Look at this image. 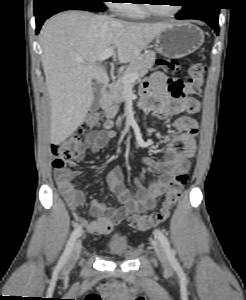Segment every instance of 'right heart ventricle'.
<instances>
[{"label":"right heart ventricle","mask_w":246,"mask_h":300,"mask_svg":"<svg viewBox=\"0 0 246 300\" xmlns=\"http://www.w3.org/2000/svg\"><path fill=\"white\" fill-rule=\"evenodd\" d=\"M131 1V0H130ZM119 12L127 17L141 19L148 16V14L141 8L138 3L128 2L120 6Z\"/></svg>","instance_id":"right-heart-ventricle-1"}]
</instances>
